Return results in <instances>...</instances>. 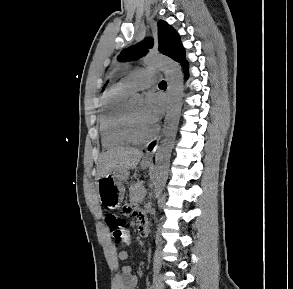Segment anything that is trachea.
Here are the masks:
<instances>
[{"instance_id": "trachea-1", "label": "trachea", "mask_w": 293, "mask_h": 289, "mask_svg": "<svg viewBox=\"0 0 293 289\" xmlns=\"http://www.w3.org/2000/svg\"><path fill=\"white\" fill-rule=\"evenodd\" d=\"M159 86H167V83H166L165 81H161V82L159 83Z\"/></svg>"}]
</instances>
